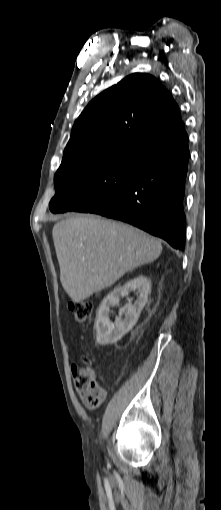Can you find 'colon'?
<instances>
[{
	"instance_id": "colon-1",
	"label": "colon",
	"mask_w": 221,
	"mask_h": 510,
	"mask_svg": "<svg viewBox=\"0 0 221 510\" xmlns=\"http://www.w3.org/2000/svg\"><path fill=\"white\" fill-rule=\"evenodd\" d=\"M74 320L77 323H85L92 313V304L88 301H72L69 303ZM84 367H80L76 376L81 388V401L89 409L98 408L104 400V391L98 385L93 369L89 366L87 355L83 356Z\"/></svg>"
}]
</instances>
